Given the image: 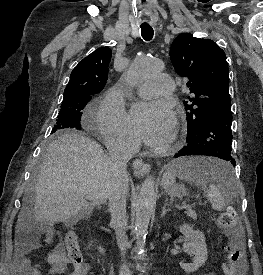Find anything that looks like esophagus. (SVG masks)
Here are the masks:
<instances>
[{
    "label": "esophagus",
    "instance_id": "34e87169",
    "mask_svg": "<svg viewBox=\"0 0 263 275\" xmlns=\"http://www.w3.org/2000/svg\"><path fill=\"white\" fill-rule=\"evenodd\" d=\"M134 172L138 175H145L151 169L150 164L144 163L142 159L137 158L133 161Z\"/></svg>",
    "mask_w": 263,
    "mask_h": 275
}]
</instances>
